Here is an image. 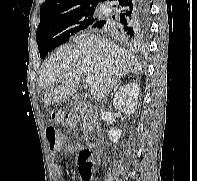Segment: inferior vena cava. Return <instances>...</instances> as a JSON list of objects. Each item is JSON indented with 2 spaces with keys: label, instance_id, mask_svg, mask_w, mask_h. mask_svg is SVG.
<instances>
[{
  "label": "inferior vena cava",
  "instance_id": "602c4592",
  "mask_svg": "<svg viewBox=\"0 0 197 181\" xmlns=\"http://www.w3.org/2000/svg\"><path fill=\"white\" fill-rule=\"evenodd\" d=\"M103 113H104V112H103V110L101 109V115H103Z\"/></svg>",
  "mask_w": 197,
  "mask_h": 181
}]
</instances>
